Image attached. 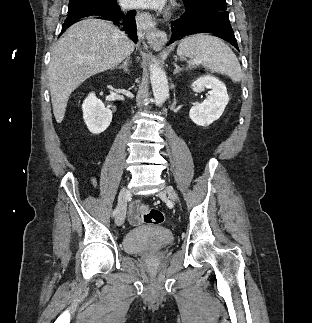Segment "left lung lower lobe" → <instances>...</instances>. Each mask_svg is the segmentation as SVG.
<instances>
[{
  "label": "left lung lower lobe",
  "instance_id": "left-lung-lower-lobe-1",
  "mask_svg": "<svg viewBox=\"0 0 312 323\" xmlns=\"http://www.w3.org/2000/svg\"><path fill=\"white\" fill-rule=\"evenodd\" d=\"M171 32L170 42L197 33H210L230 42L239 50L230 25L226 0H209L191 12L185 10L179 19L171 23Z\"/></svg>",
  "mask_w": 312,
  "mask_h": 323
}]
</instances>
